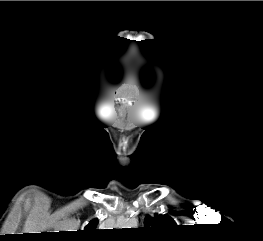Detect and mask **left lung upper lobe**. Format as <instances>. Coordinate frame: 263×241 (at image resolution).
Listing matches in <instances>:
<instances>
[{
	"label": "left lung upper lobe",
	"mask_w": 263,
	"mask_h": 241,
	"mask_svg": "<svg viewBox=\"0 0 263 241\" xmlns=\"http://www.w3.org/2000/svg\"><path fill=\"white\" fill-rule=\"evenodd\" d=\"M144 224L146 229L151 230L173 229L176 227V223L171 217L162 214H155V217L147 215Z\"/></svg>",
	"instance_id": "5c2ea615"
}]
</instances>
